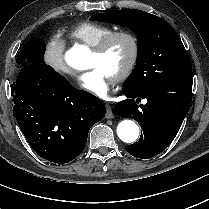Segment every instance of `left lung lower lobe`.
Returning a JSON list of instances; mask_svg holds the SVG:
<instances>
[{"mask_svg":"<svg viewBox=\"0 0 209 209\" xmlns=\"http://www.w3.org/2000/svg\"><path fill=\"white\" fill-rule=\"evenodd\" d=\"M192 81V78H185L136 90L123 87L122 93L128 99L118 102L114 112L136 120L143 130L138 142L125 147L129 154L148 159L170 145L190 109ZM141 98L147 99V103L138 106Z\"/></svg>","mask_w":209,"mask_h":209,"instance_id":"obj_1","label":"left lung lower lobe"}]
</instances>
